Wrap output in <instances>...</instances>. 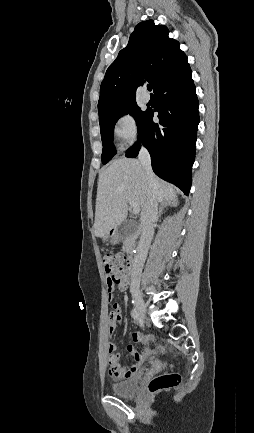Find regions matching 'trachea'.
<instances>
[{
	"mask_svg": "<svg viewBox=\"0 0 254 433\" xmlns=\"http://www.w3.org/2000/svg\"><path fill=\"white\" fill-rule=\"evenodd\" d=\"M147 89H148V91H151L152 90V86L151 85H147Z\"/></svg>",
	"mask_w": 254,
	"mask_h": 433,
	"instance_id": "3493384b",
	"label": "trachea"
}]
</instances>
